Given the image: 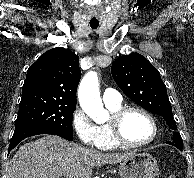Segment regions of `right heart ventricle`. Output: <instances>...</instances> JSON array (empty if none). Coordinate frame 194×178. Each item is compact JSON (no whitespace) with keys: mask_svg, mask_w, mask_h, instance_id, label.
<instances>
[{"mask_svg":"<svg viewBox=\"0 0 194 178\" xmlns=\"http://www.w3.org/2000/svg\"><path fill=\"white\" fill-rule=\"evenodd\" d=\"M106 107L111 113H114L119 109H121L122 105L121 103L109 104V105H106ZM97 135H98V139H97L96 147L99 149L114 150L122 147L115 142L108 124H102L97 126Z\"/></svg>","mask_w":194,"mask_h":178,"instance_id":"1","label":"right heart ventricle"}]
</instances>
